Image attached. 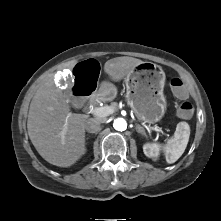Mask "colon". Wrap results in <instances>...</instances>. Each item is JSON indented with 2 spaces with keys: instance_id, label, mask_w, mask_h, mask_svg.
Wrapping results in <instances>:
<instances>
[{
  "instance_id": "colon-1",
  "label": "colon",
  "mask_w": 221,
  "mask_h": 221,
  "mask_svg": "<svg viewBox=\"0 0 221 221\" xmlns=\"http://www.w3.org/2000/svg\"><path fill=\"white\" fill-rule=\"evenodd\" d=\"M100 74L101 67L94 60H87L76 66L73 72L74 84L68 89L70 104L73 108L82 109L93 99V88L98 84ZM170 87L176 97L180 99L187 97L186 86L180 78L171 79ZM193 112L194 108L188 101L182 102L178 108V115L182 118H190Z\"/></svg>"
}]
</instances>
